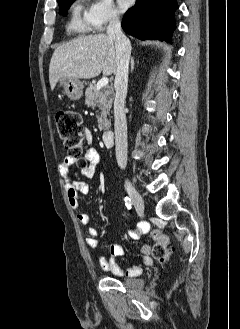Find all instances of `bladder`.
Returning <instances> with one entry per match:
<instances>
[{
	"label": "bladder",
	"mask_w": 240,
	"mask_h": 329,
	"mask_svg": "<svg viewBox=\"0 0 240 329\" xmlns=\"http://www.w3.org/2000/svg\"><path fill=\"white\" fill-rule=\"evenodd\" d=\"M121 282L127 286H135L142 287L143 283L141 281L131 280V279H123Z\"/></svg>",
	"instance_id": "1"
}]
</instances>
